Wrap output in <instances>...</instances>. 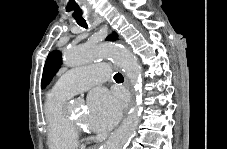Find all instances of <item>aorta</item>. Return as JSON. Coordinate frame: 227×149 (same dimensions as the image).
<instances>
[{"label":"aorta","mask_w":227,"mask_h":149,"mask_svg":"<svg viewBox=\"0 0 227 149\" xmlns=\"http://www.w3.org/2000/svg\"><path fill=\"white\" fill-rule=\"evenodd\" d=\"M105 58H110L122 68L136 91V104L130 109L128 117L104 144V149H125L134 136L140 121L142 68L137 59L128 49L116 45L70 46L63 51V63L67 67H75Z\"/></svg>","instance_id":"1"}]
</instances>
